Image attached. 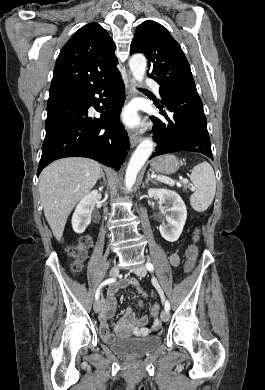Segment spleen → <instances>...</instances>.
<instances>
[{
  "label": "spleen",
  "instance_id": "1",
  "mask_svg": "<svg viewBox=\"0 0 265 390\" xmlns=\"http://www.w3.org/2000/svg\"><path fill=\"white\" fill-rule=\"evenodd\" d=\"M194 193L190 204L197 212H203L211 205L216 192V179L212 166L207 162L197 164L190 174Z\"/></svg>",
  "mask_w": 265,
  "mask_h": 390
}]
</instances>
